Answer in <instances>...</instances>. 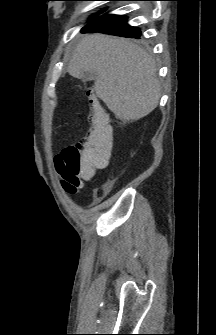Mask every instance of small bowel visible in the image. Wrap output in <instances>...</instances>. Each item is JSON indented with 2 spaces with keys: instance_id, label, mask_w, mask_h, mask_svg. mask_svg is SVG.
I'll use <instances>...</instances> for the list:
<instances>
[{
  "instance_id": "obj_1",
  "label": "small bowel",
  "mask_w": 216,
  "mask_h": 335,
  "mask_svg": "<svg viewBox=\"0 0 216 335\" xmlns=\"http://www.w3.org/2000/svg\"><path fill=\"white\" fill-rule=\"evenodd\" d=\"M110 141V140H109ZM92 178H83V184H84V182H86V181H89V180H91ZM83 187V185H79L78 186V190L79 189H81Z\"/></svg>"
}]
</instances>
